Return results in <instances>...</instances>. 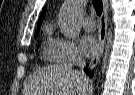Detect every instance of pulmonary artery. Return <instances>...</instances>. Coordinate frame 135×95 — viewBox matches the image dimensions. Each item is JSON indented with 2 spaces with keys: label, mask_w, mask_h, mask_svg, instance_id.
Listing matches in <instances>:
<instances>
[{
  "label": "pulmonary artery",
  "mask_w": 135,
  "mask_h": 95,
  "mask_svg": "<svg viewBox=\"0 0 135 95\" xmlns=\"http://www.w3.org/2000/svg\"><path fill=\"white\" fill-rule=\"evenodd\" d=\"M83 27L86 31H94L96 26L93 17L90 16L84 17Z\"/></svg>",
  "instance_id": "pulmonary-artery-1"
}]
</instances>
